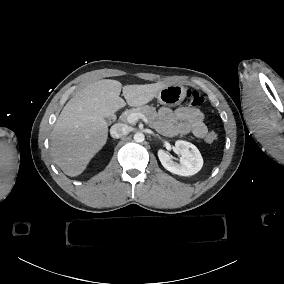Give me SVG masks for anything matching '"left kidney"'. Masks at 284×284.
Returning a JSON list of instances; mask_svg holds the SVG:
<instances>
[{
	"label": "left kidney",
	"mask_w": 284,
	"mask_h": 284,
	"mask_svg": "<svg viewBox=\"0 0 284 284\" xmlns=\"http://www.w3.org/2000/svg\"><path fill=\"white\" fill-rule=\"evenodd\" d=\"M175 151L181 155L180 163L174 162L173 157L163 148L157 151L158 158L166 170L180 176H191L200 171L203 160L196 146L179 140L175 142Z\"/></svg>",
	"instance_id": "obj_1"
}]
</instances>
